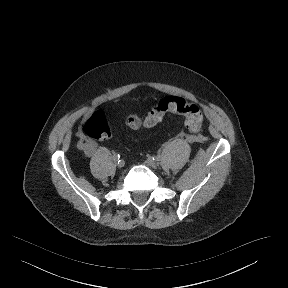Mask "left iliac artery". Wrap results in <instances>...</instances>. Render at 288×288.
I'll return each mask as SVG.
<instances>
[{
  "mask_svg": "<svg viewBox=\"0 0 288 288\" xmlns=\"http://www.w3.org/2000/svg\"><path fill=\"white\" fill-rule=\"evenodd\" d=\"M159 159H160V156H158V155L153 157V160H155V161H159Z\"/></svg>",
  "mask_w": 288,
  "mask_h": 288,
  "instance_id": "left-iliac-artery-1",
  "label": "left iliac artery"
}]
</instances>
